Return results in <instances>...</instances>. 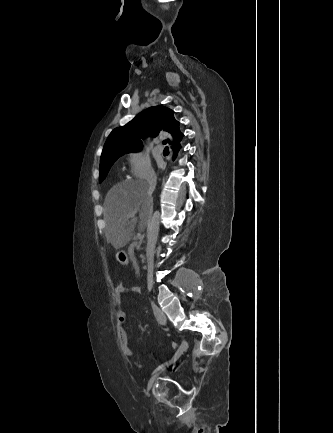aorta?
<instances>
[{"instance_id": "762f6f07", "label": "aorta", "mask_w": 333, "mask_h": 433, "mask_svg": "<svg viewBox=\"0 0 333 433\" xmlns=\"http://www.w3.org/2000/svg\"><path fill=\"white\" fill-rule=\"evenodd\" d=\"M159 227H160V212L156 210L153 213L151 219L148 221V226H147V246H146L147 259L154 257L156 242L159 234Z\"/></svg>"}]
</instances>
